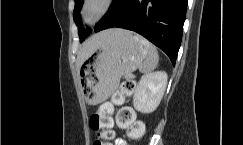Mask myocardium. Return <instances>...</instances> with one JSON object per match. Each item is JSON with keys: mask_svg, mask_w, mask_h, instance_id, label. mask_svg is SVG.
<instances>
[{"mask_svg": "<svg viewBox=\"0 0 243 145\" xmlns=\"http://www.w3.org/2000/svg\"><path fill=\"white\" fill-rule=\"evenodd\" d=\"M116 0H83L81 7V20L87 25H95L101 21L116 5ZM99 3L98 12L92 17L87 16V11L90 5Z\"/></svg>", "mask_w": 243, "mask_h": 145, "instance_id": "f54148a6", "label": "myocardium"}]
</instances>
